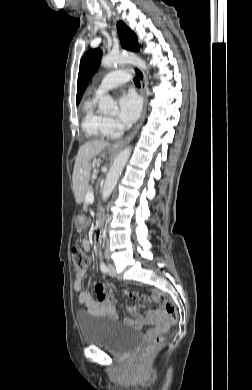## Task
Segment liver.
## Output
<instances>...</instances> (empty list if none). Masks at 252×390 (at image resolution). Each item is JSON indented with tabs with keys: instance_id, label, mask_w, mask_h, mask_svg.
<instances>
[{
	"instance_id": "1",
	"label": "liver",
	"mask_w": 252,
	"mask_h": 390,
	"mask_svg": "<svg viewBox=\"0 0 252 390\" xmlns=\"http://www.w3.org/2000/svg\"><path fill=\"white\" fill-rule=\"evenodd\" d=\"M107 146V142L92 141L80 147L72 176L73 191L78 201H81L87 193L91 172V160L97 155L104 157V150Z\"/></svg>"
}]
</instances>
